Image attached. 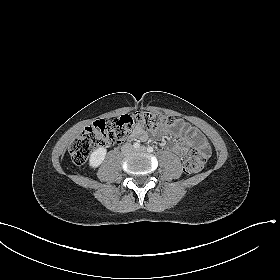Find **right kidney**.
I'll use <instances>...</instances> for the list:
<instances>
[{
    "instance_id": "right-kidney-1",
    "label": "right kidney",
    "mask_w": 280,
    "mask_h": 280,
    "mask_svg": "<svg viewBox=\"0 0 280 280\" xmlns=\"http://www.w3.org/2000/svg\"><path fill=\"white\" fill-rule=\"evenodd\" d=\"M106 153L107 150L104 147H100L92 152L89 159V166L91 168H97L98 166H100V164L105 159Z\"/></svg>"
}]
</instances>
